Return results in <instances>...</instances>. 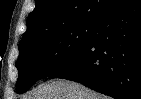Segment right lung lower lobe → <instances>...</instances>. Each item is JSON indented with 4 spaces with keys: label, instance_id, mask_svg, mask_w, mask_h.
<instances>
[{
    "label": "right lung lower lobe",
    "instance_id": "obj_1",
    "mask_svg": "<svg viewBox=\"0 0 141 99\" xmlns=\"http://www.w3.org/2000/svg\"><path fill=\"white\" fill-rule=\"evenodd\" d=\"M97 22L91 41L50 77L116 99H141V0H124Z\"/></svg>",
    "mask_w": 141,
    "mask_h": 99
}]
</instances>
